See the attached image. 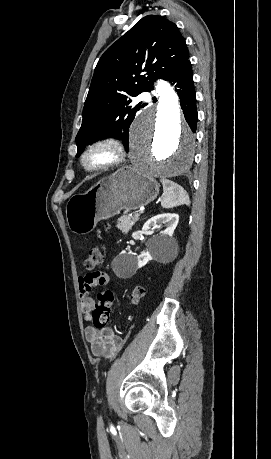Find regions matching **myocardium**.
I'll return each instance as SVG.
<instances>
[{
	"label": "myocardium",
	"mask_w": 271,
	"mask_h": 459,
	"mask_svg": "<svg viewBox=\"0 0 271 459\" xmlns=\"http://www.w3.org/2000/svg\"><path fill=\"white\" fill-rule=\"evenodd\" d=\"M99 145H109L112 148V155L107 160L88 166L86 163L90 152ZM125 158V145L122 139L113 133L100 134L88 141L79 154L78 163L81 169L88 174H93L108 168L115 167L123 162Z\"/></svg>",
	"instance_id": "myocardium-1"
}]
</instances>
